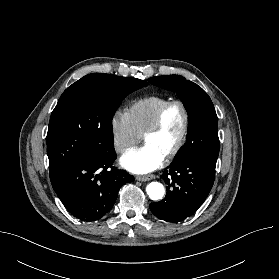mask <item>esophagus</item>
<instances>
[{
	"label": "esophagus",
	"mask_w": 279,
	"mask_h": 279,
	"mask_svg": "<svg viewBox=\"0 0 279 279\" xmlns=\"http://www.w3.org/2000/svg\"><path fill=\"white\" fill-rule=\"evenodd\" d=\"M155 178L154 175H147V176H137L136 180L138 181H149L151 179Z\"/></svg>",
	"instance_id": "esophagus-1"
}]
</instances>
